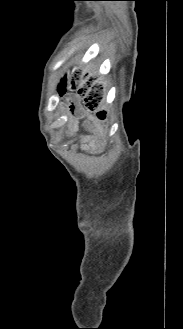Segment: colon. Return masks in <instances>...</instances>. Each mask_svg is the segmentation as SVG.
<instances>
[{"label": "colon", "instance_id": "5ec220e1", "mask_svg": "<svg viewBox=\"0 0 183 329\" xmlns=\"http://www.w3.org/2000/svg\"><path fill=\"white\" fill-rule=\"evenodd\" d=\"M73 62L71 61H62V68H71L73 67ZM74 89H77L79 93L83 96L84 102H66V109H91L94 110L98 107L101 100V89L99 86H90V79L88 77L79 80L73 86ZM54 93H59L58 97L60 99H75V92H67V86H54ZM99 117L102 118L103 114H99Z\"/></svg>", "mask_w": 183, "mask_h": 329}]
</instances>
